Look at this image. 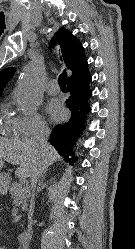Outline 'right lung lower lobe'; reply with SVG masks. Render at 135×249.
Instances as JSON below:
<instances>
[{
	"label": "right lung lower lobe",
	"instance_id": "98d812e1",
	"mask_svg": "<svg viewBox=\"0 0 135 249\" xmlns=\"http://www.w3.org/2000/svg\"><path fill=\"white\" fill-rule=\"evenodd\" d=\"M91 75L85 78L67 83L70 96L66 100L71 115L67 122L57 125L50 135V143L57 149L60 155L74 156L73 147L82 130L85 128V116L90 111L88 100L92 96L89 84ZM76 158L74 159V162Z\"/></svg>",
	"mask_w": 135,
	"mask_h": 249
}]
</instances>
